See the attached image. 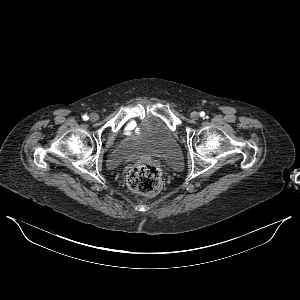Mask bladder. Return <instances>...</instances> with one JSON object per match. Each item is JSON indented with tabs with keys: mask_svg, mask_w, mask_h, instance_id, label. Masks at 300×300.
<instances>
[{
	"mask_svg": "<svg viewBox=\"0 0 300 300\" xmlns=\"http://www.w3.org/2000/svg\"><path fill=\"white\" fill-rule=\"evenodd\" d=\"M125 151L129 153L167 157L173 165L182 159V152L173 132L163 123L156 122L151 130L142 138L131 135L124 143ZM113 168L118 167L119 160L109 157Z\"/></svg>",
	"mask_w": 300,
	"mask_h": 300,
	"instance_id": "bladder-1",
	"label": "bladder"
}]
</instances>
